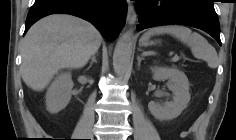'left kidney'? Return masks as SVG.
I'll return each mask as SVG.
<instances>
[{
    "instance_id": "left-kidney-1",
    "label": "left kidney",
    "mask_w": 236,
    "mask_h": 140,
    "mask_svg": "<svg viewBox=\"0 0 236 140\" xmlns=\"http://www.w3.org/2000/svg\"><path fill=\"white\" fill-rule=\"evenodd\" d=\"M153 77L156 80L167 79V86L174 94L173 101L164 104L150 101L148 108L159 120H171L178 117L190 101L189 81L187 76L177 69L155 67Z\"/></svg>"
}]
</instances>
